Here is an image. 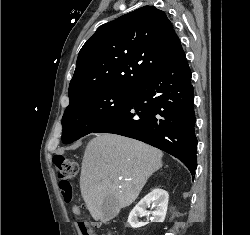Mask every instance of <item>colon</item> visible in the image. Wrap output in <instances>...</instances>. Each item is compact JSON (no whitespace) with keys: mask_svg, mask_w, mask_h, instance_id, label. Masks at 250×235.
<instances>
[{"mask_svg":"<svg viewBox=\"0 0 250 235\" xmlns=\"http://www.w3.org/2000/svg\"><path fill=\"white\" fill-rule=\"evenodd\" d=\"M53 162L64 200L66 203H72L74 201L72 181L78 176V163L62 155L54 156ZM78 225L82 235H93L92 229L96 226V223L87 220H80Z\"/></svg>","mask_w":250,"mask_h":235,"instance_id":"1","label":"colon"}]
</instances>
